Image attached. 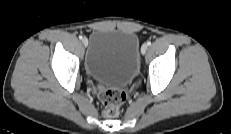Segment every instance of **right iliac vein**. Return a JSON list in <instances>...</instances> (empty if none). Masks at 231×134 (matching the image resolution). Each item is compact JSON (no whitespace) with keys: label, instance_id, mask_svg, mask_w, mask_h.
<instances>
[{"label":"right iliac vein","instance_id":"1","mask_svg":"<svg viewBox=\"0 0 231 134\" xmlns=\"http://www.w3.org/2000/svg\"><path fill=\"white\" fill-rule=\"evenodd\" d=\"M82 43H83V45L86 47V46L88 45V39L84 37V38L82 39Z\"/></svg>","mask_w":231,"mask_h":134}]
</instances>
